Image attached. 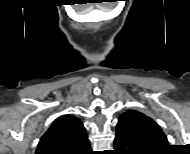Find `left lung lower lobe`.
Listing matches in <instances>:
<instances>
[{
    "label": "left lung lower lobe",
    "mask_w": 190,
    "mask_h": 154,
    "mask_svg": "<svg viewBox=\"0 0 190 154\" xmlns=\"http://www.w3.org/2000/svg\"><path fill=\"white\" fill-rule=\"evenodd\" d=\"M167 145L150 140L140 134L131 116L119 118L114 148L123 154H151Z\"/></svg>",
    "instance_id": "1"
}]
</instances>
